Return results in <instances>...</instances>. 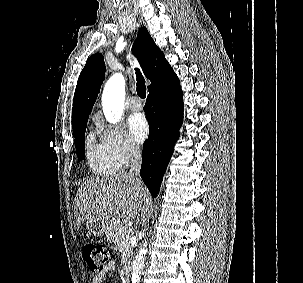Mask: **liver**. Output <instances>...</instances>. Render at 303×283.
I'll use <instances>...</instances> for the list:
<instances>
[{"mask_svg":"<svg viewBox=\"0 0 303 283\" xmlns=\"http://www.w3.org/2000/svg\"><path fill=\"white\" fill-rule=\"evenodd\" d=\"M147 195L139 177L120 172L90 178L79 187L75 198L76 227L89 220L107 219L114 222L122 213L134 218Z\"/></svg>","mask_w":303,"mask_h":283,"instance_id":"obj_1","label":"liver"}]
</instances>
